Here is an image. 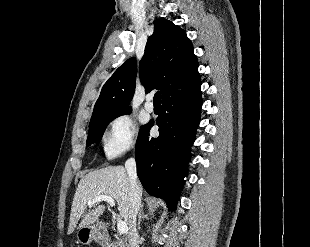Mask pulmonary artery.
Segmentation results:
<instances>
[{
    "instance_id": "1",
    "label": "pulmonary artery",
    "mask_w": 310,
    "mask_h": 247,
    "mask_svg": "<svg viewBox=\"0 0 310 247\" xmlns=\"http://www.w3.org/2000/svg\"><path fill=\"white\" fill-rule=\"evenodd\" d=\"M145 110L147 112H153L154 111V104L152 102V96H149L144 104Z\"/></svg>"
}]
</instances>
